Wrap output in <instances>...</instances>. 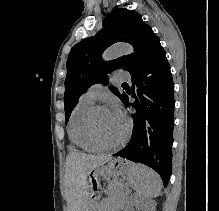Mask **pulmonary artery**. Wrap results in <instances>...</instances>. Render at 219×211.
<instances>
[{
    "instance_id": "pulmonary-artery-1",
    "label": "pulmonary artery",
    "mask_w": 219,
    "mask_h": 211,
    "mask_svg": "<svg viewBox=\"0 0 219 211\" xmlns=\"http://www.w3.org/2000/svg\"><path fill=\"white\" fill-rule=\"evenodd\" d=\"M115 74H122L123 70L122 69H115L114 70ZM114 80H130V75H114L113 76ZM102 90V84L97 83L92 86H90L85 93L82 94L81 99L88 101V102H94L96 99L97 95L101 92Z\"/></svg>"
}]
</instances>
